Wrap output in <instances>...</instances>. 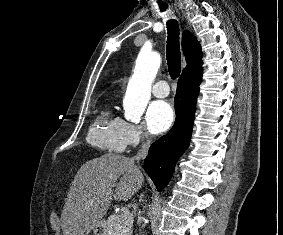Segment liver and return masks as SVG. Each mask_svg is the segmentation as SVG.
Segmentation results:
<instances>
[{
    "instance_id": "liver-1",
    "label": "liver",
    "mask_w": 283,
    "mask_h": 235,
    "mask_svg": "<svg viewBox=\"0 0 283 235\" xmlns=\"http://www.w3.org/2000/svg\"><path fill=\"white\" fill-rule=\"evenodd\" d=\"M143 183L144 176L132 158L109 153L87 161L67 195L61 214L63 235H88L106 214L112 197L128 201Z\"/></svg>"
}]
</instances>
